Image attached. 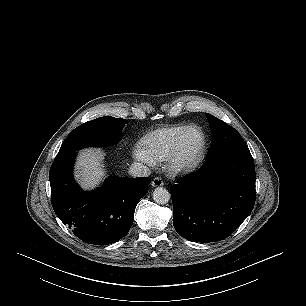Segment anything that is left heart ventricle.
<instances>
[{
  "label": "left heart ventricle",
  "instance_id": "1",
  "mask_svg": "<svg viewBox=\"0 0 306 306\" xmlns=\"http://www.w3.org/2000/svg\"><path fill=\"white\" fill-rule=\"evenodd\" d=\"M201 146V135L198 131H190L184 141V150L188 154H193L198 151Z\"/></svg>",
  "mask_w": 306,
  "mask_h": 306
}]
</instances>
